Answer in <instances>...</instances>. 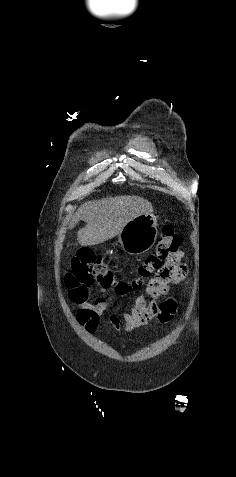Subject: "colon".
Listing matches in <instances>:
<instances>
[{"mask_svg":"<svg viewBox=\"0 0 236 477\" xmlns=\"http://www.w3.org/2000/svg\"><path fill=\"white\" fill-rule=\"evenodd\" d=\"M181 240L172 225L163 227V236L156 249L139 265L138 274L130 281H117L114 265L89 248L79 250L66 275V285L74 302H84L89 291L96 286L113 288L118 297L138 292L145 281L153 276L154 288L166 294L170 285L181 276Z\"/></svg>","mask_w":236,"mask_h":477,"instance_id":"5ec220e1","label":"colon"}]
</instances>
